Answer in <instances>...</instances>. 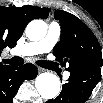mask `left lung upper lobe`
I'll return each instance as SVG.
<instances>
[{"instance_id": "obj_1", "label": "left lung upper lobe", "mask_w": 103, "mask_h": 103, "mask_svg": "<svg viewBox=\"0 0 103 103\" xmlns=\"http://www.w3.org/2000/svg\"><path fill=\"white\" fill-rule=\"evenodd\" d=\"M54 17L60 21L61 36L53 54L61 65L67 63L68 71L81 67H102L101 48L92 31L76 16L65 11L56 10Z\"/></svg>"}]
</instances>
